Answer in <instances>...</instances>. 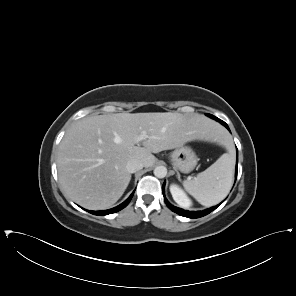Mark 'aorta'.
<instances>
[{"mask_svg": "<svg viewBox=\"0 0 296 296\" xmlns=\"http://www.w3.org/2000/svg\"><path fill=\"white\" fill-rule=\"evenodd\" d=\"M154 175L157 178H164L167 175V168L165 166H157L154 169Z\"/></svg>", "mask_w": 296, "mask_h": 296, "instance_id": "aorta-1", "label": "aorta"}]
</instances>
